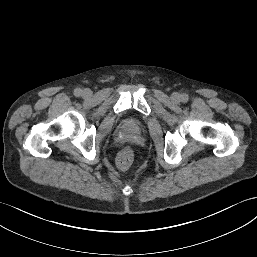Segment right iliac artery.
<instances>
[{"label":"right iliac artery","mask_w":257,"mask_h":257,"mask_svg":"<svg viewBox=\"0 0 257 257\" xmlns=\"http://www.w3.org/2000/svg\"><path fill=\"white\" fill-rule=\"evenodd\" d=\"M82 94V90L80 89V88H76L75 90H74V95L75 96H80Z\"/></svg>","instance_id":"obj_1"}]
</instances>
